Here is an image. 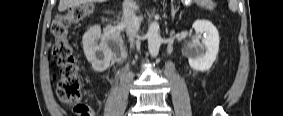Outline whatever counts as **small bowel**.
<instances>
[{
	"mask_svg": "<svg viewBox=\"0 0 283 116\" xmlns=\"http://www.w3.org/2000/svg\"><path fill=\"white\" fill-rule=\"evenodd\" d=\"M91 115H95V112L91 111Z\"/></svg>",
	"mask_w": 283,
	"mask_h": 116,
	"instance_id": "obj_1",
	"label": "small bowel"
}]
</instances>
